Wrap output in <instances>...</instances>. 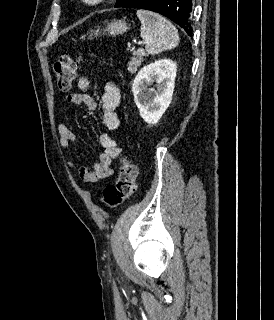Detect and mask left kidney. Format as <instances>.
<instances>
[{
    "label": "left kidney",
    "instance_id": "1",
    "mask_svg": "<svg viewBox=\"0 0 274 320\" xmlns=\"http://www.w3.org/2000/svg\"><path fill=\"white\" fill-rule=\"evenodd\" d=\"M177 66L172 60H158L138 72L132 86L134 102L147 124H157L173 96ZM156 82V88H149Z\"/></svg>",
    "mask_w": 274,
    "mask_h": 320
}]
</instances>
